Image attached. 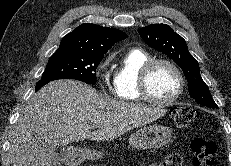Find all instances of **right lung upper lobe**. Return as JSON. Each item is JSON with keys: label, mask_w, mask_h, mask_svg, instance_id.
Returning <instances> with one entry per match:
<instances>
[{"label": "right lung upper lobe", "mask_w": 231, "mask_h": 166, "mask_svg": "<svg viewBox=\"0 0 231 166\" xmlns=\"http://www.w3.org/2000/svg\"><path fill=\"white\" fill-rule=\"evenodd\" d=\"M125 38L127 34L116 28L84 23L63 37L58 50L104 56L115 43Z\"/></svg>", "instance_id": "cb5924a9"}]
</instances>
